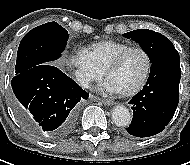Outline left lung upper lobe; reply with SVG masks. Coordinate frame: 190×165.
<instances>
[{
  "label": "left lung upper lobe",
  "instance_id": "5c2ea615",
  "mask_svg": "<svg viewBox=\"0 0 190 165\" xmlns=\"http://www.w3.org/2000/svg\"><path fill=\"white\" fill-rule=\"evenodd\" d=\"M123 36L139 43L143 51L148 55L151 63L166 55L177 53V50L168 38L148 29L134 30L123 34Z\"/></svg>",
  "mask_w": 190,
  "mask_h": 165
}]
</instances>
